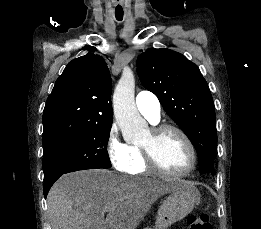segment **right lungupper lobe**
I'll use <instances>...</instances> for the list:
<instances>
[{
	"mask_svg": "<svg viewBox=\"0 0 261 229\" xmlns=\"http://www.w3.org/2000/svg\"><path fill=\"white\" fill-rule=\"evenodd\" d=\"M111 77L99 55L72 60L56 80L43 112V147L69 140L93 125L112 124Z\"/></svg>",
	"mask_w": 261,
	"mask_h": 229,
	"instance_id": "1",
	"label": "right lung upper lobe"
}]
</instances>
